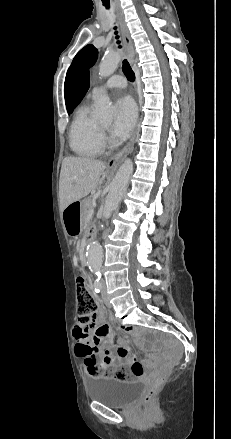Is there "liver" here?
Instances as JSON below:
<instances>
[{
  "label": "liver",
  "instance_id": "liver-1",
  "mask_svg": "<svg viewBox=\"0 0 231 439\" xmlns=\"http://www.w3.org/2000/svg\"><path fill=\"white\" fill-rule=\"evenodd\" d=\"M105 169L104 162L92 158H64L59 180L61 211L94 192L106 177Z\"/></svg>",
  "mask_w": 231,
  "mask_h": 439
}]
</instances>
